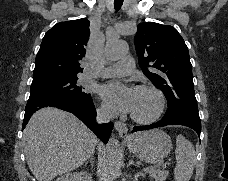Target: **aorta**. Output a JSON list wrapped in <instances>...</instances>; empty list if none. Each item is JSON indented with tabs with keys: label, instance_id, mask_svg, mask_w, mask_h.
<instances>
[{
	"label": "aorta",
	"instance_id": "aorta-1",
	"mask_svg": "<svg viewBox=\"0 0 228 181\" xmlns=\"http://www.w3.org/2000/svg\"><path fill=\"white\" fill-rule=\"evenodd\" d=\"M128 51V46L126 42L118 39L108 40L105 48L106 57L109 60H117ZM118 161H119V144L118 141L114 138L110 139L106 146V164L108 170L112 175H116L118 170Z\"/></svg>",
	"mask_w": 228,
	"mask_h": 181
}]
</instances>
